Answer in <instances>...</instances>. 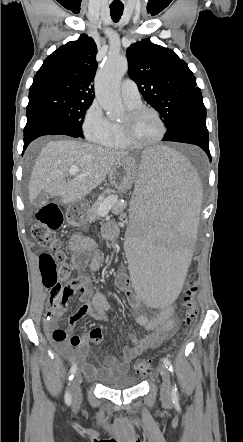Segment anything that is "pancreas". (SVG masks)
<instances>
[{
	"label": "pancreas",
	"instance_id": "obj_1",
	"mask_svg": "<svg viewBox=\"0 0 243 442\" xmlns=\"http://www.w3.org/2000/svg\"><path fill=\"white\" fill-rule=\"evenodd\" d=\"M112 197H116V202L113 204L111 210L114 214H120L122 213L126 208V203H121L117 196H109L103 200L96 201L88 210V220L89 222H94L96 220H99L101 218L98 209L99 207L107 200H109Z\"/></svg>",
	"mask_w": 243,
	"mask_h": 442
}]
</instances>
